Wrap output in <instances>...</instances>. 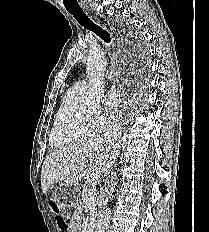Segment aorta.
Segmentation results:
<instances>
[{"instance_id":"1","label":"aorta","mask_w":209,"mask_h":232,"mask_svg":"<svg viewBox=\"0 0 209 232\" xmlns=\"http://www.w3.org/2000/svg\"><path fill=\"white\" fill-rule=\"evenodd\" d=\"M105 71L104 54L100 50H92L89 53L86 65V72L89 82V88L86 97L82 100V108L88 111H96L100 107V99L104 93L103 75ZM111 209L108 208L102 212L95 232H106L110 222Z\"/></svg>"}]
</instances>
